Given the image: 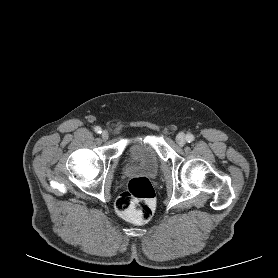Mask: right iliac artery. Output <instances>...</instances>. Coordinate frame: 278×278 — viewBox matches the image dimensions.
<instances>
[{
    "label": "right iliac artery",
    "instance_id": "1",
    "mask_svg": "<svg viewBox=\"0 0 278 278\" xmlns=\"http://www.w3.org/2000/svg\"><path fill=\"white\" fill-rule=\"evenodd\" d=\"M94 130H95V132L98 133V134L101 133V128H100L99 126L95 127Z\"/></svg>",
    "mask_w": 278,
    "mask_h": 278
}]
</instances>
